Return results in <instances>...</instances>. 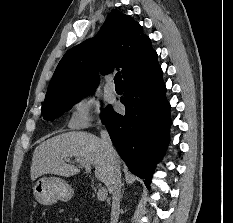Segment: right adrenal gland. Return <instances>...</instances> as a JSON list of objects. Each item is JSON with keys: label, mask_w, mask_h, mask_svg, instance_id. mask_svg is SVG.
Here are the masks:
<instances>
[{"label": "right adrenal gland", "mask_w": 233, "mask_h": 223, "mask_svg": "<svg viewBox=\"0 0 233 223\" xmlns=\"http://www.w3.org/2000/svg\"><path fill=\"white\" fill-rule=\"evenodd\" d=\"M123 195H124V189H122L121 191V197H123Z\"/></svg>", "instance_id": "obj_1"}]
</instances>
